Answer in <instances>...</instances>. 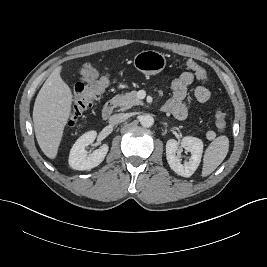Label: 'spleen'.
Returning a JSON list of instances; mask_svg holds the SVG:
<instances>
[{"instance_id": "3e777b00", "label": "spleen", "mask_w": 267, "mask_h": 267, "mask_svg": "<svg viewBox=\"0 0 267 267\" xmlns=\"http://www.w3.org/2000/svg\"><path fill=\"white\" fill-rule=\"evenodd\" d=\"M229 150V139L222 135L214 139L205 151L202 177L210 175L225 159Z\"/></svg>"}]
</instances>
